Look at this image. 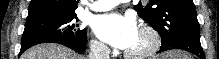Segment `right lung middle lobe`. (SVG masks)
<instances>
[{
  "instance_id": "1",
  "label": "right lung middle lobe",
  "mask_w": 219,
  "mask_h": 59,
  "mask_svg": "<svg viewBox=\"0 0 219 59\" xmlns=\"http://www.w3.org/2000/svg\"><path fill=\"white\" fill-rule=\"evenodd\" d=\"M77 22L76 13L44 10L28 13L21 49L60 39L86 44V30L81 29Z\"/></svg>"
}]
</instances>
